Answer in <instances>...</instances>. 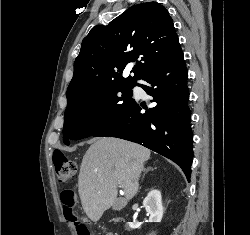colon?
I'll return each mask as SVG.
<instances>
[{"instance_id":"1","label":"colon","mask_w":250,"mask_h":235,"mask_svg":"<svg viewBox=\"0 0 250 235\" xmlns=\"http://www.w3.org/2000/svg\"><path fill=\"white\" fill-rule=\"evenodd\" d=\"M53 164L55 168L56 178L59 182L65 183L73 180L77 175V164L75 161L69 159L63 153L53 154ZM60 199L63 205L64 215L68 222H72L76 225L78 235H90L89 228L83 222L77 220L75 207H76V195L73 191L66 190L61 192ZM122 220L120 218L114 219L115 223H119Z\"/></svg>"}]
</instances>
